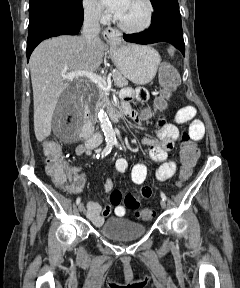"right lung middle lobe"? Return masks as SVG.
<instances>
[{"label": "right lung middle lobe", "mask_w": 240, "mask_h": 288, "mask_svg": "<svg viewBox=\"0 0 240 288\" xmlns=\"http://www.w3.org/2000/svg\"><path fill=\"white\" fill-rule=\"evenodd\" d=\"M29 7V26L51 13L66 12L76 14L83 12L82 0H29Z\"/></svg>", "instance_id": "dd1d6c3e"}]
</instances>
